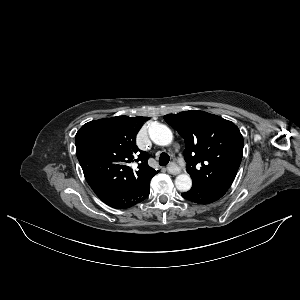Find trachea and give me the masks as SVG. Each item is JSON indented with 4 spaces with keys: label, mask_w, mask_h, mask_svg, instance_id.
Instances as JSON below:
<instances>
[{
    "label": "trachea",
    "mask_w": 300,
    "mask_h": 300,
    "mask_svg": "<svg viewBox=\"0 0 300 300\" xmlns=\"http://www.w3.org/2000/svg\"><path fill=\"white\" fill-rule=\"evenodd\" d=\"M170 161V157L167 153L163 152L159 157V165L166 166Z\"/></svg>",
    "instance_id": "1"
}]
</instances>
